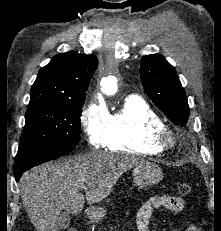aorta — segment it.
Returning <instances> with one entry per match:
<instances>
[{
  "mask_svg": "<svg viewBox=\"0 0 221 231\" xmlns=\"http://www.w3.org/2000/svg\"><path fill=\"white\" fill-rule=\"evenodd\" d=\"M101 91L107 95H114L117 91V80L113 76L104 78L101 81Z\"/></svg>",
  "mask_w": 221,
  "mask_h": 231,
  "instance_id": "obj_1",
  "label": "aorta"
}]
</instances>
